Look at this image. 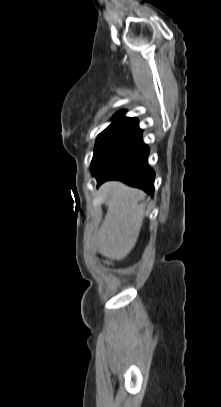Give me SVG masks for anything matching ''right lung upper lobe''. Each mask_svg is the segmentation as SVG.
<instances>
[{
	"label": "right lung upper lobe",
	"instance_id": "1",
	"mask_svg": "<svg viewBox=\"0 0 221 407\" xmlns=\"http://www.w3.org/2000/svg\"><path fill=\"white\" fill-rule=\"evenodd\" d=\"M125 111L118 112L110 126L105 130L114 128H139L138 120L136 118L124 117Z\"/></svg>",
	"mask_w": 221,
	"mask_h": 407
}]
</instances>
